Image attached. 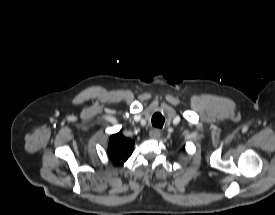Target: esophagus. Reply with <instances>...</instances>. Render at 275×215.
Masks as SVG:
<instances>
[{
	"instance_id": "34e87169",
	"label": "esophagus",
	"mask_w": 275,
	"mask_h": 215,
	"mask_svg": "<svg viewBox=\"0 0 275 215\" xmlns=\"http://www.w3.org/2000/svg\"><path fill=\"white\" fill-rule=\"evenodd\" d=\"M149 136L153 139H158L161 136V131L157 128H154L149 132Z\"/></svg>"
}]
</instances>
